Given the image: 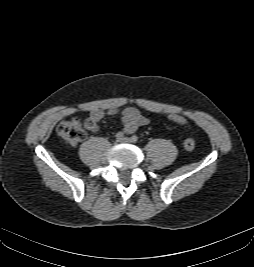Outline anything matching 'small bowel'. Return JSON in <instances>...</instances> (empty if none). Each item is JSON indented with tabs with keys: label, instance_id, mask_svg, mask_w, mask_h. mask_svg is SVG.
Here are the masks:
<instances>
[{
	"label": "small bowel",
	"instance_id": "1",
	"mask_svg": "<svg viewBox=\"0 0 254 267\" xmlns=\"http://www.w3.org/2000/svg\"><path fill=\"white\" fill-rule=\"evenodd\" d=\"M119 115L122 119L123 131L127 134L134 133L138 127L144 126L148 123V119L133 107L126 108H101L90 111V119L95 122V127L91 129L95 132L98 128V122L105 116Z\"/></svg>",
	"mask_w": 254,
	"mask_h": 267
}]
</instances>
